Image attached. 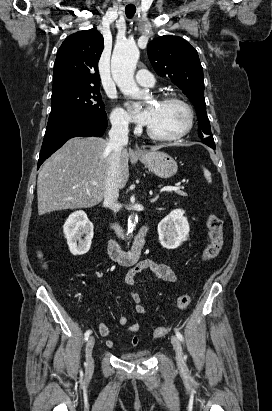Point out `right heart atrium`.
<instances>
[{
  "label": "right heart atrium",
  "instance_id": "d8ad5b80",
  "mask_svg": "<svg viewBox=\"0 0 272 411\" xmlns=\"http://www.w3.org/2000/svg\"><path fill=\"white\" fill-rule=\"evenodd\" d=\"M110 121L117 129H127L129 126V117L127 113L119 107L112 110L110 114Z\"/></svg>",
  "mask_w": 272,
  "mask_h": 411
}]
</instances>
